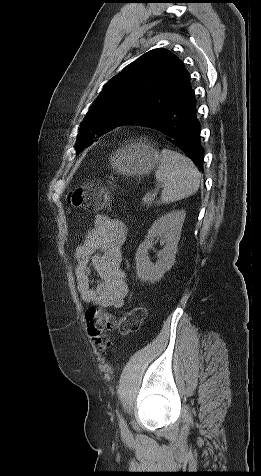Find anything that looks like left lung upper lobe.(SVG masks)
<instances>
[{"label":"left lung upper lobe","instance_id":"1","mask_svg":"<svg viewBox=\"0 0 261 476\" xmlns=\"http://www.w3.org/2000/svg\"><path fill=\"white\" fill-rule=\"evenodd\" d=\"M190 90V75L180 59L165 49L145 53L104 85L81 123L77 154L95 137L115 127L139 124L168 109Z\"/></svg>","mask_w":261,"mask_h":476}]
</instances>
